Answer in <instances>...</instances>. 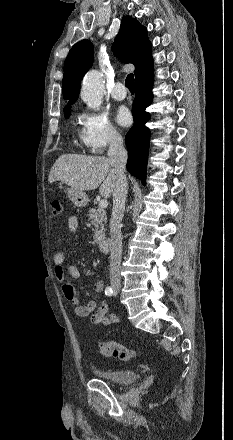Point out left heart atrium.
<instances>
[{"instance_id":"1","label":"left heart atrium","mask_w":233,"mask_h":440,"mask_svg":"<svg viewBox=\"0 0 233 440\" xmlns=\"http://www.w3.org/2000/svg\"><path fill=\"white\" fill-rule=\"evenodd\" d=\"M115 119L121 126H128L132 121L131 113L125 106H120L116 110Z\"/></svg>"}]
</instances>
